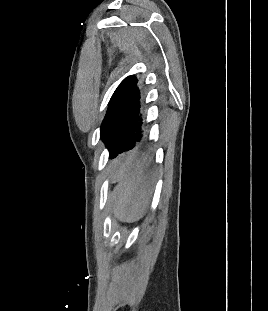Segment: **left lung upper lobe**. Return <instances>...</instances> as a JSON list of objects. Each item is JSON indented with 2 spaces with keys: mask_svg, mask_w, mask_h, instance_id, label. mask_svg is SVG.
Returning a JSON list of instances; mask_svg holds the SVG:
<instances>
[{
  "mask_svg": "<svg viewBox=\"0 0 268 311\" xmlns=\"http://www.w3.org/2000/svg\"><path fill=\"white\" fill-rule=\"evenodd\" d=\"M137 83L138 79L134 75L126 77L117 87L109 101L108 109L100 129V138L105 143L106 147H108L112 140L117 129L118 117Z\"/></svg>",
  "mask_w": 268,
  "mask_h": 311,
  "instance_id": "obj_1",
  "label": "left lung upper lobe"
}]
</instances>
